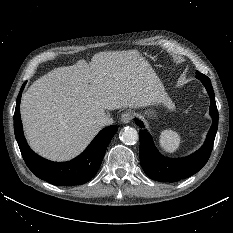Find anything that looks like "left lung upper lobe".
<instances>
[{"label": "left lung upper lobe", "mask_w": 233, "mask_h": 233, "mask_svg": "<svg viewBox=\"0 0 233 233\" xmlns=\"http://www.w3.org/2000/svg\"><path fill=\"white\" fill-rule=\"evenodd\" d=\"M204 74L200 73V72H196V77L198 78L199 76H203Z\"/></svg>", "instance_id": "obj_1"}]
</instances>
